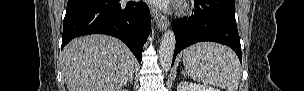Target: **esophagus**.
Returning <instances> with one entry per match:
<instances>
[{"label":"esophagus","instance_id":"esophagus-1","mask_svg":"<svg viewBox=\"0 0 304 91\" xmlns=\"http://www.w3.org/2000/svg\"><path fill=\"white\" fill-rule=\"evenodd\" d=\"M151 13L152 16L156 22L157 27L161 30L164 31L167 29L169 26V20L168 18L160 13L155 7H151Z\"/></svg>","mask_w":304,"mask_h":91}]
</instances>
